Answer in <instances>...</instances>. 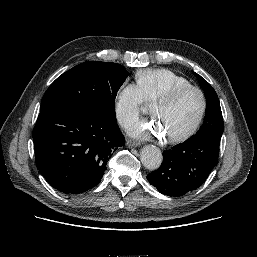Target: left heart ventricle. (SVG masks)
<instances>
[{
	"mask_svg": "<svg viewBox=\"0 0 257 257\" xmlns=\"http://www.w3.org/2000/svg\"><path fill=\"white\" fill-rule=\"evenodd\" d=\"M200 107L198 94L189 91L172 104L153 105L151 112L160 121L165 134L169 137L187 130L196 120Z\"/></svg>",
	"mask_w": 257,
	"mask_h": 257,
	"instance_id": "1",
	"label": "left heart ventricle"
}]
</instances>
